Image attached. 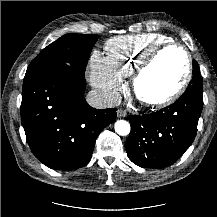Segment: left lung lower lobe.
Segmentation results:
<instances>
[{
    "instance_id": "left-lung-lower-lobe-1",
    "label": "left lung lower lobe",
    "mask_w": 217,
    "mask_h": 217,
    "mask_svg": "<svg viewBox=\"0 0 217 217\" xmlns=\"http://www.w3.org/2000/svg\"><path fill=\"white\" fill-rule=\"evenodd\" d=\"M202 107V93L189 89L156 113L131 115V132L125 143L129 159L144 168L172 165L192 144Z\"/></svg>"
}]
</instances>
